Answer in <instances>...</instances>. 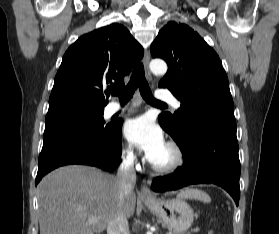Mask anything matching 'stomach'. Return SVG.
Returning <instances> with one entry per match:
<instances>
[{
  "label": "stomach",
  "instance_id": "0dacf381",
  "mask_svg": "<svg viewBox=\"0 0 279 234\" xmlns=\"http://www.w3.org/2000/svg\"><path fill=\"white\" fill-rule=\"evenodd\" d=\"M144 204L177 234L185 232L193 223L194 212L192 208L179 197L172 200L157 199L153 202L145 200Z\"/></svg>",
  "mask_w": 279,
  "mask_h": 234
}]
</instances>
